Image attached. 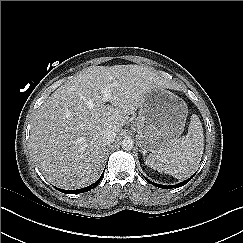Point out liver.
<instances>
[{"mask_svg": "<svg viewBox=\"0 0 243 243\" xmlns=\"http://www.w3.org/2000/svg\"><path fill=\"white\" fill-rule=\"evenodd\" d=\"M110 84L111 99L104 101L101 91ZM157 88L178 89L143 65L90 66L80 71L55 90L35 116L29 145L40 172L64 189L95 182L106 151L103 131L113 127L119 133Z\"/></svg>", "mask_w": 243, "mask_h": 243, "instance_id": "1", "label": "liver"}]
</instances>
